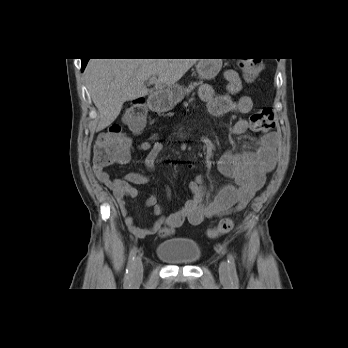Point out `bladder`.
<instances>
[{
	"label": "bladder",
	"instance_id": "bladder-1",
	"mask_svg": "<svg viewBox=\"0 0 348 348\" xmlns=\"http://www.w3.org/2000/svg\"><path fill=\"white\" fill-rule=\"evenodd\" d=\"M155 254L169 265H193L200 259L201 249L194 241L170 240L158 244Z\"/></svg>",
	"mask_w": 348,
	"mask_h": 348
}]
</instances>
